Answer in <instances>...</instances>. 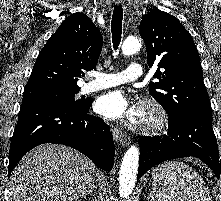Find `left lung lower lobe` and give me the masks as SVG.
I'll return each mask as SVG.
<instances>
[{
	"instance_id": "0a47b994",
	"label": "left lung lower lobe",
	"mask_w": 221,
	"mask_h": 201,
	"mask_svg": "<svg viewBox=\"0 0 221 201\" xmlns=\"http://www.w3.org/2000/svg\"><path fill=\"white\" fill-rule=\"evenodd\" d=\"M168 124V134L163 137L139 138L138 178L163 161L194 156L206 163L219 179L221 164L211 114L195 112Z\"/></svg>"
}]
</instances>
